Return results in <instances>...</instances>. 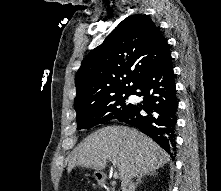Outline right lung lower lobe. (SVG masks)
<instances>
[{
    "label": "right lung lower lobe",
    "instance_id": "1",
    "mask_svg": "<svg viewBox=\"0 0 221 191\" xmlns=\"http://www.w3.org/2000/svg\"><path fill=\"white\" fill-rule=\"evenodd\" d=\"M132 94L143 96V105L133 104L120 121L139 128L173 157L178 101L170 52L141 78Z\"/></svg>",
    "mask_w": 221,
    "mask_h": 191
}]
</instances>
